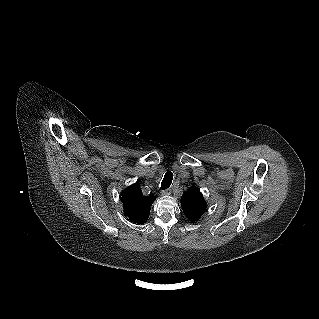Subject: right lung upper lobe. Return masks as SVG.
<instances>
[{
	"instance_id": "1",
	"label": "right lung upper lobe",
	"mask_w": 319,
	"mask_h": 319,
	"mask_svg": "<svg viewBox=\"0 0 319 319\" xmlns=\"http://www.w3.org/2000/svg\"><path fill=\"white\" fill-rule=\"evenodd\" d=\"M154 200L155 197L152 195L143 196L137 183L129 186L121 193L124 214L136 224H143L147 221Z\"/></svg>"
}]
</instances>
